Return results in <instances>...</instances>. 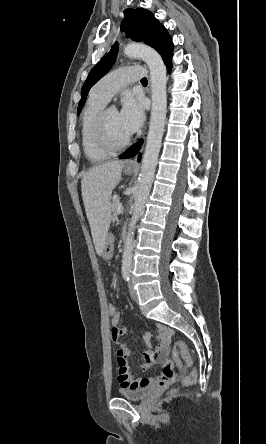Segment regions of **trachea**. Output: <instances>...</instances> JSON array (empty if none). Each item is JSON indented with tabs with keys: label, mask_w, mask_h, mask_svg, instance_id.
<instances>
[{
	"label": "trachea",
	"mask_w": 266,
	"mask_h": 444,
	"mask_svg": "<svg viewBox=\"0 0 266 444\" xmlns=\"http://www.w3.org/2000/svg\"><path fill=\"white\" fill-rule=\"evenodd\" d=\"M141 82H142V83H143V82H147V79L144 77V78L141 79Z\"/></svg>",
	"instance_id": "3493384b"
}]
</instances>
